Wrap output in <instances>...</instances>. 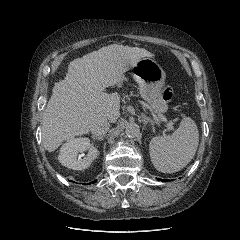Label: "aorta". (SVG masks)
I'll return each instance as SVG.
<instances>
[{
	"label": "aorta",
	"mask_w": 240,
	"mask_h": 240,
	"mask_svg": "<svg viewBox=\"0 0 240 240\" xmlns=\"http://www.w3.org/2000/svg\"><path fill=\"white\" fill-rule=\"evenodd\" d=\"M125 134L128 138H135L140 134V127L137 123H129L125 128Z\"/></svg>",
	"instance_id": "762f6f07"
}]
</instances>
